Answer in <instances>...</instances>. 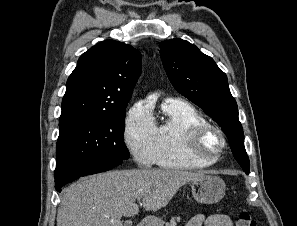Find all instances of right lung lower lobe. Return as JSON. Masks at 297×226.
Wrapping results in <instances>:
<instances>
[{
  "label": "right lung lower lobe",
  "instance_id": "98d812e1",
  "mask_svg": "<svg viewBox=\"0 0 297 226\" xmlns=\"http://www.w3.org/2000/svg\"><path fill=\"white\" fill-rule=\"evenodd\" d=\"M122 162L113 159H90L69 163L55 169V188L61 192L62 186L81 176L108 171Z\"/></svg>",
  "mask_w": 297,
  "mask_h": 226
}]
</instances>
